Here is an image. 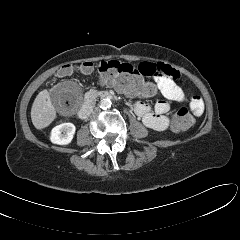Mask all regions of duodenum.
Listing matches in <instances>:
<instances>
[{"label": "duodenum", "mask_w": 240, "mask_h": 240, "mask_svg": "<svg viewBox=\"0 0 240 240\" xmlns=\"http://www.w3.org/2000/svg\"><path fill=\"white\" fill-rule=\"evenodd\" d=\"M98 98L99 99H108V98H113V95L108 91H100V92L89 94L87 96L83 106L81 107V109L78 112L79 118L85 119L89 115V112L94 103V100L98 99Z\"/></svg>", "instance_id": "1"}]
</instances>
